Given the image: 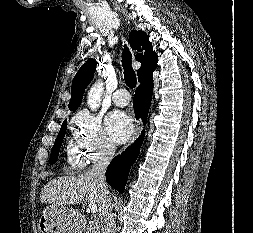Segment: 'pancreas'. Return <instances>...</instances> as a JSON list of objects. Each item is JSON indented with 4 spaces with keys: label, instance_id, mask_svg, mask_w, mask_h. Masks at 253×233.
I'll return each mask as SVG.
<instances>
[{
    "label": "pancreas",
    "instance_id": "1",
    "mask_svg": "<svg viewBox=\"0 0 253 233\" xmlns=\"http://www.w3.org/2000/svg\"><path fill=\"white\" fill-rule=\"evenodd\" d=\"M103 228L101 222L96 220L89 221V224L86 226L85 233H103Z\"/></svg>",
    "mask_w": 253,
    "mask_h": 233
}]
</instances>
